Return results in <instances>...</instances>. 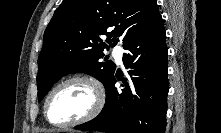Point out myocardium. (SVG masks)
<instances>
[{"instance_id": "1", "label": "myocardium", "mask_w": 221, "mask_h": 133, "mask_svg": "<svg viewBox=\"0 0 221 133\" xmlns=\"http://www.w3.org/2000/svg\"><path fill=\"white\" fill-rule=\"evenodd\" d=\"M73 82L85 83L91 88L93 92V96H94L92 107L86 114H84L83 116L75 120H72L66 123L52 122L50 118L48 117V110H47L50 98L59 88L69 83H73ZM104 104H105V92H104L102 85L97 79L91 76H87V75H72L61 80L57 84H55L47 93L45 100H44V104H43V114L47 122L51 124L52 126L58 127V128H68V127H74V126L81 125V124L91 121L92 119H94L100 114V112L102 111L104 107Z\"/></svg>"}]
</instances>
